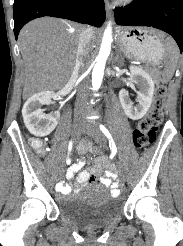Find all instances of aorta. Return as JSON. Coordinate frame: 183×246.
Wrapping results in <instances>:
<instances>
[{"label":"aorta","mask_w":183,"mask_h":246,"mask_svg":"<svg viewBox=\"0 0 183 246\" xmlns=\"http://www.w3.org/2000/svg\"><path fill=\"white\" fill-rule=\"evenodd\" d=\"M112 41H113L112 27H111V23L109 22V24L107 25L104 31L99 55L97 56L96 64L92 71L93 90H98L101 86L104 76L105 64L111 51Z\"/></svg>","instance_id":"obj_1"}]
</instances>
